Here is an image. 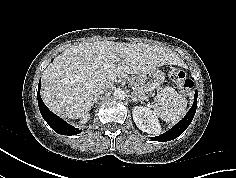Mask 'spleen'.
Listing matches in <instances>:
<instances>
[{
  "label": "spleen",
  "instance_id": "3e777b00",
  "mask_svg": "<svg viewBox=\"0 0 236 178\" xmlns=\"http://www.w3.org/2000/svg\"><path fill=\"white\" fill-rule=\"evenodd\" d=\"M187 100L172 87H165L156 96L154 114L172 124L180 121L186 114Z\"/></svg>",
  "mask_w": 236,
  "mask_h": 178
}]
</instances>
